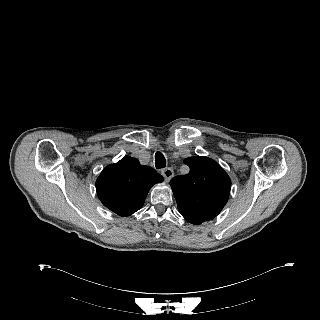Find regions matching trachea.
<instances>
[{
    "label": "trachea",
    "instance_id": "3493384b",
    "mask_svg": "<svg viewBox=\"0 0 320 320\" xmlns=\"http://www.w3.org/2000/svg\"><path fill=\"white\" fill-rule=\"evenodd\" d=\"M155 166L157 169H161L166 166V159L161 152H156L155 154Z\"/></svg>",
    "mask_w": 320,
    "mask_h": 320
}]
</instances>
